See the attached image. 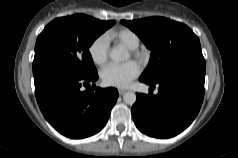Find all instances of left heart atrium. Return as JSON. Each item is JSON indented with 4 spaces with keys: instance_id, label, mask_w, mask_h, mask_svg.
I'll use <instances>...</instances> for the list:
<instances>
[{
    "instance_id": "39dd6f15",
    "label": "left heart atrium",
    "mask_w": 238,
    "mask_h": 158,
    "mask_svg": "<svg viewBox=\"0 0 238 158\" xmlns=\"http://www.w3.org/2000/svg\"><path fill=\"white\" fill-rule=\"evenodd\" d=\"M140 73L139 65L134 61H128L123 64L111 63L101 71L103 82L112 87L123 88Z\"/></svg>"
}]
</instances>
